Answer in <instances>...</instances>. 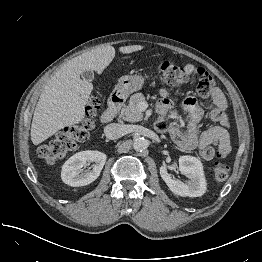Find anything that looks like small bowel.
Returning a JSON list of instances; mask_svg holds the SVG:
<instances>
[{"label": "small bowel", "mask_w": 262, "mask_h": 262, "mask_svg": "<svg viewBox=\"0 0 262 262\" xmlns=\"http://www.w3.org/2000/svg\"><path fill=\"white\" fill-rule=\"evenodd\" d=\"M187 74H198L199 95L208 101L207 109L212 121L218 122L219 126H212L206 130H200V121L203 109L199 106L195 98L189 97L183 103V109L187 112L186 132L181 129L177 121L169 122L175 116L170 110L173 101L170 98V90L162 88L160 90L161 100L158 103L159 118L158 129L166 130L172 139L184 149L199 150L200 157L204 160H211L215 156V149L211 146L218 145L221 150L229 151V121L226 115L227 100L218 86H216L209 73L194 64L185 65Z\"/></svg>", "instance_id": "1"}]
</instances>
